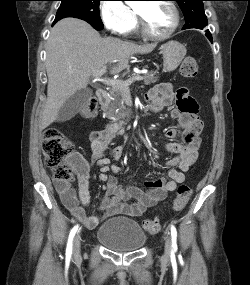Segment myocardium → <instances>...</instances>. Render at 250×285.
<instances>
[{"label":"myocardium","instance_id":"1","mask_svg":"<svg viewBox=\"0 0 250 285\" xmlns=\"http://www.w3.org/2000/svg\"><path fill=\"white\" fill-rule=\"evenodd\" d=\"M162 3H165L166 5H168L171 8L173 15H174V23L172 27L166 34H163V35H155L151 33L149 29L147 28L145 19L142 16V14L138 10L135 11L137 18H138L139 30L141 34L145 38L153 40V41H165L171 38L173 34L177 31L180 25L181 18H180V12H179L177 5L172 0H164V2Z\"/></svg>","mask_w":250,"mask_h":285}]
</instances>
